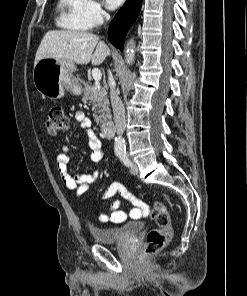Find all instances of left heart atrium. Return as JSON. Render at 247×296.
Listing matches in <instances>:
<instances>
[{"mask_svg":"<svg viewBox=\"0 0 247 296\" xmlns=\"http://www.w3.org/2000/svg\"><path fill=\"white\" fill-rule=\"evenodd\" d=\"M124 0H106L108 8L115 9L119 7Z\"/></svg>","mask_w":247,"mask_h":296,"instance_id":"left-heart-atrium-1","label":"left heart atrium"}]
</instances>
